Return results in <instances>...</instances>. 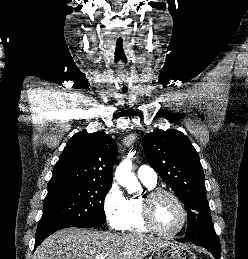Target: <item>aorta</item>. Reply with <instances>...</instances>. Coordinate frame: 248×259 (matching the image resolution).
Here are the masks:
<instances>
[{"label": "aorta", "instance_id": "762f6f07", "mask_svg": "<svg viewBox=\"0 0 248 259\" xmlns=\"http://www.w3.org/2000/svg\"><path fill=\"white\" fill-rule=\"evenodd\" d=\"M115 179L128 192H136L141 188L136 176L132 173V162L129 158L123 160L115 171Z\"/></svg>", "mask_w": 248, "mask_h": 259}]
</instances>
